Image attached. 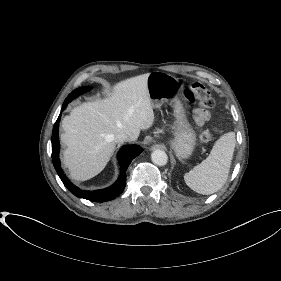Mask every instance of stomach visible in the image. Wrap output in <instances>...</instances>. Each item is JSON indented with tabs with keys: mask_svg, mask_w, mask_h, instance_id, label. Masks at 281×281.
<instances>
[{
	"mask_svg": "<svg viewBox=\"0 0 281 281\" xmlns=\"http://www.w3.org/2000/svg\"><path fill=\"white\" fill-rule=\"evenodd\" d=\"M149 98L154 108L169 102L174 111L173 139L171 148L179 159H187L196 145V134L188 122L180 98L175 94L180 87L179 80L166 72L149 73L147 80Z\"/></svg>",
	"mask_w": 281,
	"mask_h": 281,
	"instance_id": "stomach-1",
	"label": "stomach"
}]
</instances>
